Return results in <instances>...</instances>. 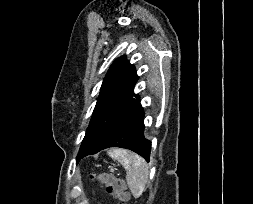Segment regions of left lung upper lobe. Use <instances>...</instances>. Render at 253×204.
<instances>
[{"mask_svg":"<svg viewBox=\"0 0 253 204\" xmlns=\"http://www.w3.org/2000/svg\"><path fill=\"white\" fill-rule=\"evenodd\" d=\"M137 80L135 68L125 60V56L114 61L103 80L91 121L133 94Z\"/></svg>","mask_w":253,"mask_h":204,"instance_id":"1","label":"left lung upper lobe"}]
</instances>
